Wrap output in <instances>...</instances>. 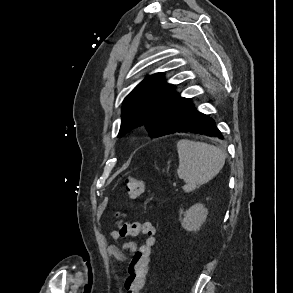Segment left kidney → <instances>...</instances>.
I'll list each match as a JSON object with an SVG mask.
<instances>
[{
    "mask_svg": "<svg viewBox=\"0 0 293 293\" xmlns=\"http://www.w3.org/2000/svg\"><path fill=\"white\" fill-rule=\"evenodd\" d=\"M208 215V210L201 203L191 206L188 210L183 212V219H180L181 226L186 231H198L205 222Z\"/></svg>",
    "mask_w": 293,
    "mask_h": 293,
    "instance_id": "1",
    "label": "left kidney"
}]
</instances>
